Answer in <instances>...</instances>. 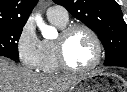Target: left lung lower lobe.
Instances as JSON below:
<instances>
[{
  "instance_id": "obj_1",
  "label": "left lung lower lobe",
  "mask_w": 127,
  "mask_h": 92,
  "mask_svg": "<svg viewBox=\"0 0 127 92\" xmlns=\"http://www.w3.org/2000/svg\"><path fill=\"white\" fill-rule=\"evenodd\" d=\"M104 65L107 66H120L127 68V54H120L109 61H105Z\"/></svg>"
}]
</instances>
